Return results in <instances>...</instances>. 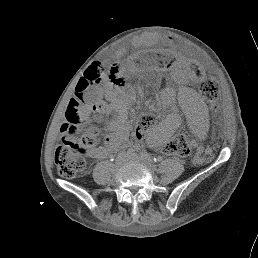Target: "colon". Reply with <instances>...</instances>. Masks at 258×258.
Returning a JSON list of instances; mask_svg holds the SVG:
<instances>
[{
    "label": "colon",
    "mask_w": 258,
    "mask_h": 258,
    "mask_svg": "<svg viewBox=\"0 0 258 258\" xmlns=\"http://www.w3.org/2000/svg\"><path fill=\"white\" fill-rule=\"evenodd\" d=\"M104 73V67L100 63L92 64L80 79L77 85V94L66 110V124L61 127L62 142L55 150L54 160L59 174L64 178H73L85 168L86 155L99 145L100 134L95 128L85 127L82 117L83 93L97 84ZM110 78L114 83L122 82L116 68H111ZM202 96L215 106L219 101V85L212 76L204 77L200 82ZM156 123L154 116L150 114L140 115L136 120V132L142 135L148 133ZM110 141L113 143L120 138V134L111 133ZM165 152L171 155L186 157L190 154L188 139L183 135L171 138L165 146Z\"/></svg>",
    "instance_id": "colon-1"
}]
</instances>
